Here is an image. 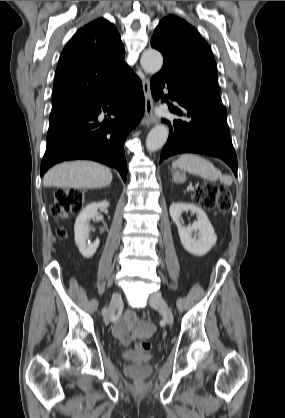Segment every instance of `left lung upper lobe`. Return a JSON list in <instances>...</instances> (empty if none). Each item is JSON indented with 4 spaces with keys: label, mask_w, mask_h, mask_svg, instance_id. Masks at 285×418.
I'll return each instance as SVG.
<instances>
[{
    "label": "left lung upper lobe",
    "mask_w": 285,
    "mask_h": 418,
    "mask_svg": "<svg viewBox=\"0 0 285 418\" xmlns=\"http://www.w3.org/2000/svg\"><path fill=\"white\" fill-rule=\"evenodd\" d=\"M151 46L163 55L161 71H169L190 88L221 100L213 53L185 20L175 15L162 19L151 38Z\"/></svg>",
    "instance_id": "5c2ea615"
}]
</instances>
